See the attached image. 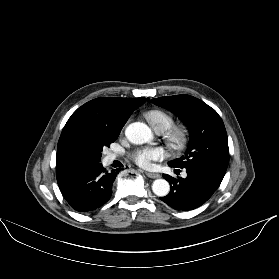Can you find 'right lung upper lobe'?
I'll use <instances>...</instances> for the list:
<instances>
[{
	"instance_id": "right-lung-upper-lobe-1",
	"label": "right lung upper lobe",
	"mask_w": 279,
	"mask_h": 279,
	"mask_svg": "<svg viewBox=\"0 0 279 279\" xmlns=\"http://www.w3.org/2000/svg\"><path fill=\"white\" fill-rule=\"evenodd\" d=\"M145 101L146 98L101 97L78 108L68 119L58 142L57 175L89 164L81 150L84 138L97 130L120 132L131 113Z\"/></svg>"
}]
</instances>
